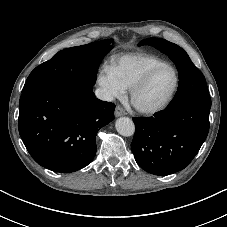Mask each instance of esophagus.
I'll use <instances>...</instances> for the list:
<instances>
[{
  "mask_svg": "<svg viewBox=\"0 0 227 227\" xmlns=\"http://www.w3.org/2000/svg\"><path fill=\"white\" fill-rule=\"evenodd\" d=\"M125 114H126V112L121 106H116V108H115V116L116 117H120V116H123Z\"/></svg>",
  "mask_w": 227,
  "mask_h": 227,
  "instance_id": "esophagus-1",
  "label": "esophagus"
}]
</instances>
